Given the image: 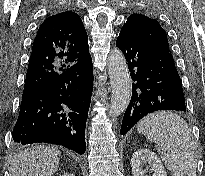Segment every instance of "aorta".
<instances>
[{"label": "aorta", "instance_id": "1", "mask_svg": "<svg viewBox=\"0 0 205 176\" xmlns=\"http://www.w3.org/2000/svg\"><path fill=\"white\" fill-rule=\"evenodd\" d=\"M108 73L112 88L110 115L116 117L126 110L132 95L126 60L118 49L111 51L108 57Z\"/></svg>", "mask_w": 205, "mask_h": 176}]
</instances>
